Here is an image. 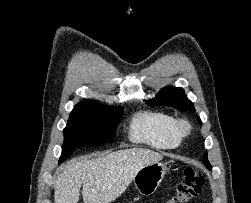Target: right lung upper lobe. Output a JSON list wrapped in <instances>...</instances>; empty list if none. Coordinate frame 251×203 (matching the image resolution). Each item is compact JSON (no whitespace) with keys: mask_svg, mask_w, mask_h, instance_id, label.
<instances>
[{"mask_svg":"<svg viewBox=\"0 0 251 203\" xmlns=\"http://www.w3.org/2000/svg\"><path fill=\"white\" fill-rule=\"evenodd\" d=\"M81 105H101V104L94 103V101H82L77 106Z\"/></svg>","mask_w":251,"mask_h":203,"instance_id":"1","label":"right lung upper lobe"}]
</instances>
